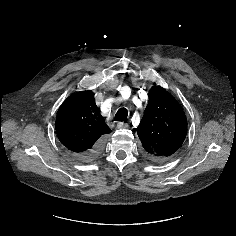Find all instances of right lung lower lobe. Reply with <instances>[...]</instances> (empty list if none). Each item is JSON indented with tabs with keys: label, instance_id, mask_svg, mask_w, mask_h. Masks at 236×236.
<instances>
[{
	"label": "right lung lower lobe",
	"instance_id": "98d812e1",
	"mask_svg": "<svg viewBox=\"0 0 236 236\" xmlns=\"http://www.w3.org/2000/svg\"><path fill=\"white\" fill-rule=\"evenodd\" d=\"M104 147L103 139H100L91 149L82 153H73V156L81 162H90L97 158Z\"/></svg>",
	"mask_w": 236,
	"mask_h": 236
}]
</instances>
